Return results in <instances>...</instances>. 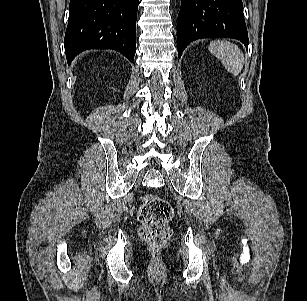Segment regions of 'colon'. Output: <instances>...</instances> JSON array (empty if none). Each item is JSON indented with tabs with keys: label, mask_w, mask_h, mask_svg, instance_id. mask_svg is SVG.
Segmentation results:
<instances>
[{
	"label": "colon",
	"mask_w": 307,
	"mask_h": 301,
	"mask_svg": "<svg viewBox=\"0 0 307 301\" xmlns=\"http://www.w3.org/2000/svg\"><path fill=\"white\" fill-rule=\"evenodd\" d=\"M173 217L171 204L157 195L144 196L138 209L140 237L151 247L160 248L170 239L172 229L170 221Z\"/></svg>",
	"instance_id": "1"
}]
</instances>
